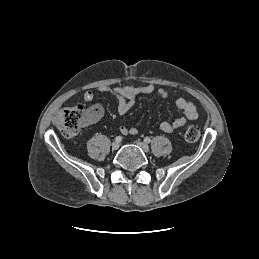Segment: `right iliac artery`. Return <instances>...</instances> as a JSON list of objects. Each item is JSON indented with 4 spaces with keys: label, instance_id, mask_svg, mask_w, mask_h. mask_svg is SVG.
I'll return each mask as SVG.
<instances>
[{
    "label": "right iliac artery",
    "instance_id": "82829eb1",
    "mask_svg": "<svg viewBox=\"0 0 259 259\" xmlns=\"http://www.w3.org/2000/svg\"><path fill=\"white\" fill-rule=\"evenodd\" d=\"M122 136H117L116 138H115V141H117V142H121L122 141Z\"/></svg>",
    "mask_w": 259,
    "mask_h": 259
}]
</instances>
